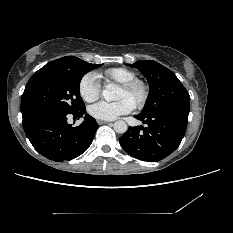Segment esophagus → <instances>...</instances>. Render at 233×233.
<instances>
[{"instance_id":"obj_1","label":"esophagus","mask_w":233,"mask_h":233,"mask_svg":"<svg viewBox=\"0 0 233 233\" xmlns=\"http://www.w3.org/2000/svg\"><path fill=\"white\" fill-rule=\"evenodd\" d=\"M97 123H98L99 125H103V124H108V123H110V121L98 120Z\"/></svg>"}]
</instances>
